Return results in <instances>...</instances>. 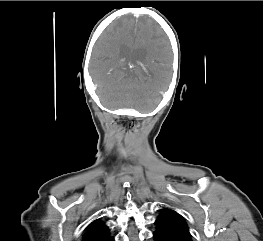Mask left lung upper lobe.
<instances>
[{
    "instance_id": "left-lung-upper-lobe-1",
    "label": "left lung upper lobe",
    "mask_w": 263,
    "mask_h": 241,
    "mask_svg": "<svg viewBox=\"0 0 263 241\" xmlns=\"http://www.w3.org/2000/svg\"><path fill=\"white\" fill-rule=\"evenodd\" d=\"M157 219L169 224L178 231L191 236L184 218L176 211L164 208L161 210Z\"/></svg>"
}]
</instances>
